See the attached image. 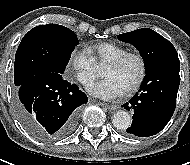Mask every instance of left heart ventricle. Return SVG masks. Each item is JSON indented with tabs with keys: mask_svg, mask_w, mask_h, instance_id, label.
Returning <instances> with one entry per match:
<instances>
[{
	"mask_svg": "<svg viewBox=\"0 0 190 165\" xmlns=\"http://www.w3.org/2000/svg\"><path fill=\"white\" fill-rule=\"evenodd\" d=\"M140 66L137 60L129 59L120 67L107 65L103 75L105 78L115 79L126 90L139 76Z\"/></svg>",
	"mask_w": 190,
	"mask_h": 165,
	"instance_id": "left-heart-ventricle-1",
	"label": "left heart ventricle"
}]
</instances>
